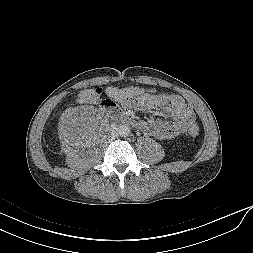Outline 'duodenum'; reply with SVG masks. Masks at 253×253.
I'll list each match as a JSON object with an SVG mask.
<instances>
[{
	"label": "duodenum",
	"mask_w": 253,
	"mask_h": 253,
	"mask_svg": "<svg viewBox=\"0 0 253 253\" xmlns=\"http://www.w3.org/2000/svg\"><path fill=\"white\" fill-rule=\"evenodd\" d=\"M110 115L114 120L118 121L119 123L128 124L132 126H140V123H138L137 121H135L133 118H131L126 114L118 113L116 111H110Z\"/></svg>",
	"instance_id": "duodenum-1"
}]
</instances>
